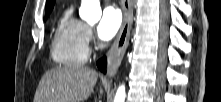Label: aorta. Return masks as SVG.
Returning a JSON list of instances; mask_svg holds the SVG:
<instances>
[{
    "label": "aorta",
    "mask_w": 221,
    "mask_h": 102,
    "mask_svg": "<svg viewBox=\"0 0 221 102\" xmlns=\"http://www.w3.org/2000/svg\"><path fill=\"white\" fill-rule=\"evenodd\" d=\"M101 14L100 0H82L79 9L81 19L87 22H97L101 18ZM125 96V86L121 85L117 89L114 102H125Z\"/></svg>",
    "instance_id": "obj_1"
}]
</instances>
